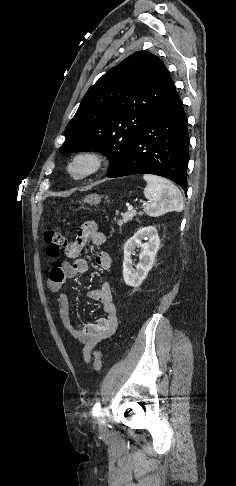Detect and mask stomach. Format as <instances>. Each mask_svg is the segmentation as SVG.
Instances as JSON below:
<instances>
[{"label":"stomach","mask_w":236,"mask_h":486,"mask_svg":"<svg viewBox=\"0 0 236 486\" xmlns=\"http://www.w3.org/2000/svg\"><path fill=\"white\" fill-rule=\"evenodd\" d=\"M101 199L102 196L98 194H90L83 199V202L90 205H98L101 202Z\"/></svg>","instance_id":"stomach-1"}]
</instances>
